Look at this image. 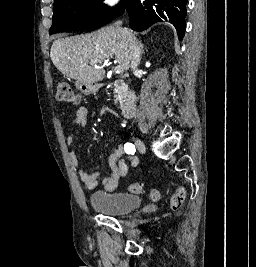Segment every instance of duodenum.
I'll return each mask as SVG.
<instances>
[{"mask_svg":"<svg viewBox=\"0 0 256 267\" xmlns=\"http://www.w3.org/2000/svg\"><path fill=\"white\" fill-rule=\"evenodd\" d=\"M113 85L125 87V81L121 78L115 79ZM75 90H79L80 94H97V90L109 89V84L103 81H97L96 78H78L75 83ZM137 95L133 90L125 87L124 100L120 109V114L124 118H131L135 113V105Z\"/></svg>","mask_w":256,"mask_h":267,"instance_id":"410a0bca","label":"duodenum"}]
</instances>
